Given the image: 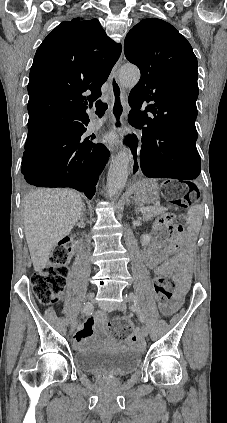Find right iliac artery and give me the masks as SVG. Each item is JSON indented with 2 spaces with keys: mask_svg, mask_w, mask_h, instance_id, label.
<instances>
[{
  "mask_svg": "<svg viewBox=\"0 0 227 423\" xmlns=\"http://www.w3.org/2000/svg\"><path fill=\"white\" fill-rule=\"evenodd\" d=\"M83 312L85 313V315H90V313L92 314V304L90 302L84 303ZM82 328L83 325L79 324L78 330H81Z\"/></svg>",
  "mask_w": 227,
  "mask_h": 423,
  "instance_id": "1",
  "label": "right iliac artery"
}]
</instances>
